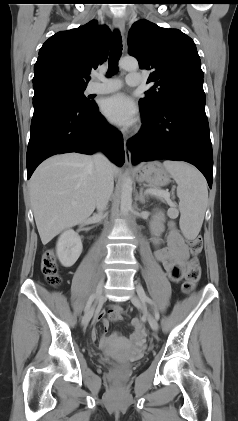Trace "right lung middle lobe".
I'll list each match as a JSON object with an SVG mask.
<instances>
[{"mask_svg":"<svg viewBox=\"0 0 238 421\" xmlns=\"http://www.w3.org/2000/svg\"><path fill=\"white\" fill-rule=\"evenodd\" d=\"M43 89H52V90H56L60 93L69 95L71 97H73L75 100H77L79 103L90 107L93 105V101L89 100L85 95H84V90L86 89V87H80V86H74V85H68V84H61V83H48V84H43V85H39V86H35L34 90L35 92L43 90Z\"/></svg>","mask_w":238,"mask_h":421,"instance_id":"dd1d6c3e","label":"right lung middle lobe"}]
</instances>
